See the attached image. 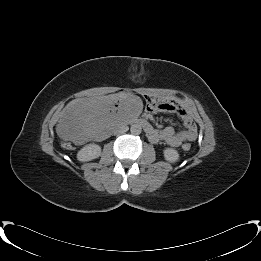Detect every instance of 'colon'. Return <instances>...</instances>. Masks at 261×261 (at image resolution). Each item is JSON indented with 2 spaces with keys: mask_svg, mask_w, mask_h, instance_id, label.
<instances>
[{
  "mask_svg": "<svg viewBox=\"0 0 261 261\" xmlns=\"http://www.w3.org/2000/svg\"><path fill=\"white\" fill-rule=\"evenodd\" d=\"M181 148H182V150H183L184 152H188V151H190L191 146H190L189 143H184Z\"/></svg>",
  "mask_w": 261,
  "mask_h": 261,
  "instance_id": "5ec220e1",
  "label": "colon"
}]
</instances>
